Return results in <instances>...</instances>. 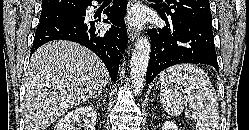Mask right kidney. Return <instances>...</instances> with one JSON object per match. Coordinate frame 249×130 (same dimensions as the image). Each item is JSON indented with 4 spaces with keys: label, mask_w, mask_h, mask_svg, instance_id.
<instances>
[{
    "label": "right kidney",
    "mask_w": 249,
    "mask_h": 130,
    "mask_svg": "<svg viewBox=\"0 0 249 130\" xmlns=\"http://www.w3.org/2000/svg\"><path fill=\"white\" fill-rule=\"evenodd\" d=\"M97 113L92 106H80L65 115L54 130H94ZM78 126L79 128H76Z\"/></svg>",
    "instance_id": "obj_1"
}]
</instances>
